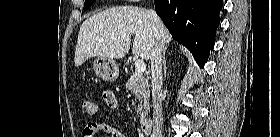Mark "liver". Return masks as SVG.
I'll list each match as a JSON object with an SVG mask.
<instances>
[{"mask_svg": "<svg viewBox=\"0 0 280 137\" xmlns=\"http://www.w3.org/2000/svg\"><path fill=\"white\" fill-rule=\"evenodd\" d=\"M132 35H135L132 53L144 60L151 59L156 41L163 48L172 40L162 21L159 19L156 24L144 8L125 6L107 9L82 23L75 50V66H81L90 57L123 58L130 49Z\"/></svg>", "mask_w": 280, "mask_h": 137, "instance_id": "liver-1", "label": "liver"}]
</instances>
